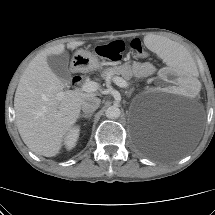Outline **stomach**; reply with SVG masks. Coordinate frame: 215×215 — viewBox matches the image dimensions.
<instances>
[{"label":"stomach","instance_id":"stomach-1","mask_svg":"<svg viewBox=\"0 0 215 215\" xmlns=\"http://www.w3.org/2000/svg\"><path fill=\"white\" fill-rule=\"evenodd\" d=\"M72 67L77 71H93L100 68V62L90 51L80 49L72 58Z\"/></svg>","mask_w":215,"mask_h":215}]
</instances>
